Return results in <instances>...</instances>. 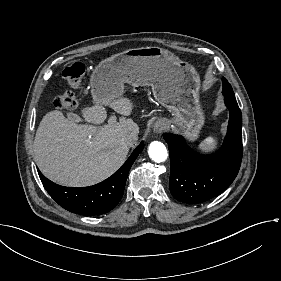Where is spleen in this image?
Returning a JSON list of instances; mask_svg holds the SVG:
<instances>
[{
  "mask_svg": "<svg viewBox=\"0 0 281 281\" xmlns=\"http://www.w3.org/2000/svg\"><path fill=\"white\" fill-rule=\"evenodd\" d=\"M220 147V141L216 136L209 135L197 145V151L203 155L213 154Z\"/></svg>",
  "mask_w": 281,
  "mask_h": 281,
  "instance_id": "3e777b00",
  "label": "spleen"
}]
</instances>
